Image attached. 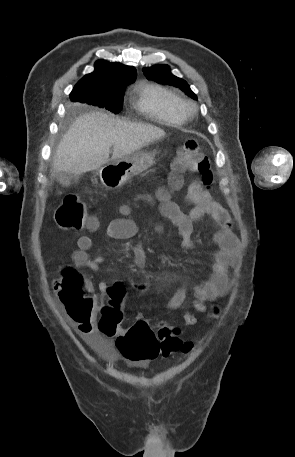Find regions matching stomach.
<instances>
[{"label":"stomach","instance_id":"0dacf381","mask_svg":"<svg viewBox=\"0 0 295 457\" xmlns=\"http://www.w3.org/2000/svg\"><path fill=\"white\" fill-rule=\"evenodd\" d=\"M156 152L135 151L123 158L112 160L99 169L101 183L107 189H117L155 163Z\"/></svg>","mask_w":295,"mask_h":457}]
</instances>
